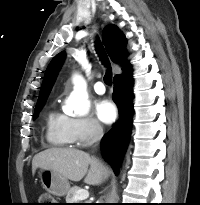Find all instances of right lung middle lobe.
Returning <instances> with one entry per match:
<instances>
[{
  "label": "right lung middle lobe",
  "mask_w": 200,
  "mask_h": 205,
  "mask_svg": "<svg viewBox=\"0 0 200 205\" xmlns=\"http://www.w3.org/2000/svg\"><path fill=\"white\" fill-rule=\"evenodd\" d=\"M45 101H46V99H42L40 101H37L36 108H35V114H34L33 118H35L37 116V113L41 110V108L45 104Z\"/></svg>",
  "instance_id": "obj_1"
}]
</instances>
